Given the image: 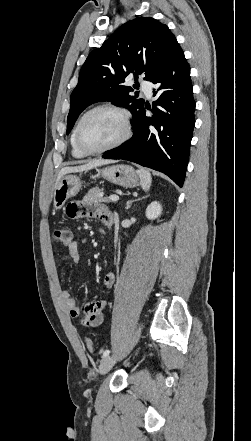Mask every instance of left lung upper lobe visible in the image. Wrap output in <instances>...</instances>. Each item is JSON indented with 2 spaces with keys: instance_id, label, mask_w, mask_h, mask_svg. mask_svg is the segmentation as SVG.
Segmentation results:
<instances>
[{
  "instance_id": "left-lung-upper-lobe-1",
  "label": "left lung upper lobe",
  "mask_w": 251,
  "mask_h": 441,
  "mask_svg": "<svg viewBox=\"0 0 251 441\" xmlns=\"http://www.w3.org/2000/svg\"><path fill=\"white\" fill-rule=\"evenodd\" d=\"M177 44L170 29L151 17H138L119 27L88 55L81 68L71 94L67 134L80 113L95 102L111 101L126 107L134 117L144 100L129 94L133 88L124 85L126 77L137 80L144 73V79L150 81Z\"/></svg>"
}]
</instances>
